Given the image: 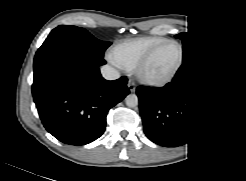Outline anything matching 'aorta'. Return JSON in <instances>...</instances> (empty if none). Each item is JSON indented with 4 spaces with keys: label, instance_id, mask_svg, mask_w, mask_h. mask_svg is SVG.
<instances>
[{
    "label": "aorta",
    "instance_id": "762f6f07",
    "mask_svg": "<svg viewBox=\"0 0 246 181\" xmlns=\"http://www.w3.org/2000/svg\"><path fill=\"white\" fill-rule=\"evenodd\" d=\"M138 97L135 94H129L125 97V103L128 107L134 108L138 105Z\"/></svg>",
    "mask_w": 246,
    "mask_h": 181
}]
</instances>
